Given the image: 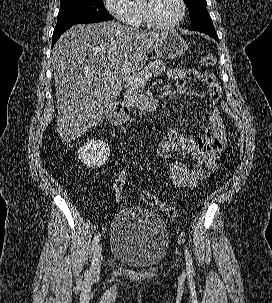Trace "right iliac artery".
I'll use <instances>...</instances> for the list:
<instances>
[{"mask_svg":"<svg viewBox=\"0 0 272 303\" xmlns=\"http://www.w3.org/2000/svg\"><path fill=\"white\" fill-rule=\"evenodd\" d=\"M100 237H101L100 233L97 234V235L94 237L93 242H92L91 252H90V253H92L93 250H94V248L98 245L99 240H100Z\"/></svg>","mask_w":272,"mask_h":303,"instance_id":"1","label":"right iliac artery"}]
</instances>
